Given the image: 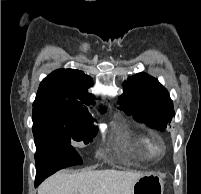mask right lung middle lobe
Returning a JSON list of instances; mask_svg holds the SVG:
<instances>
[{
	"mask_svg": "<svg viewBox=\"0 0 201 194\" xmlns=\"http://www.w3.org/2000/svg\"><path fill=\"white\" fill-rule=\"evenodd\" d=\"M93 119L78 118L70 115L66 108L58 104L33 106V135L35 144L50 141L56 145L74 149L71 141H92L97 129L91 130ZM82 164L78 154H74L61 168ZM59 168V169H61ZM58 169V170H59Z\"/></svg>",
	"mask_w": 201,
	"mask_h": 194,
	"instance_id": "obj_1",
	"label": "right lung middle lobe"
}]
</instances>
